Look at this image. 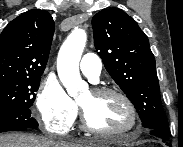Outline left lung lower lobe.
<instances>
[{"mask_svg":"<svg viewBox=\"0 0 183 147\" xmlns=\"http://www.w3.org/2000/svg\"><path fill=\"white\" fill-rule=\"evenodd\" d=\"M148 132L150 134L156 135V136H160L162 137L164 140L168 139L170 136V131H163V130H158V129H148Z\"/></svg>","mask_w":183,"mask_h":147,"instance_id":"1","label":"left lung lower lobe"}]
</instances>
